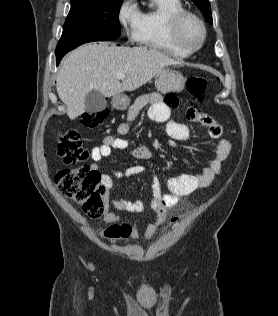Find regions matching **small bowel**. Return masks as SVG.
Masks as SVG:
<instances>
[{"label": "small bowel", "instance_id": "obj_1", "mask_svg": "<svg viewBox=\"0 0 278 316\" xmlns=\"http://www.w3.org/2000/svg\"><path fill=\"white\" fill-rule=\"evenodd\" d=\"M178 105V99L174 95L163 98L158 93H149L140 96L128 110L127 120L118 126L120 135H127L131 129L132 122L139 113L148 107V116L156 122H167L166 130L169 136L176 140L186 141L190 138V129L187 125L170 120L171 110ZM187 118L192 122L199 123L208 129L209 136L216 141L215 155L209 165L205 167L200 175L182 174L168 180L167 194L162 193L161 184L156 177L152 178L150 208L156 216L153 221L147 224L144 230V238L150 239L157 228L167 219L168 208L178 204L180 199L191 193L210 186L215 176L221 171L222 163L228 158L231 145L229 140L222 137L223 128L213 117L206 113L199 112L196 108L187 109ZM129 148V142L121 137L108 135L100 146H94L90 150L92 163L90 168L98 172L99 163L109 157L113 150H125ZM130 154L138 160H149L153 157L152 150L147 146H137L131 149ZM145 172L142 165L128 167L123 173L118 172L119 178H128L141 175ZM101 182L106 188V208L112 205L117 211L140 214L145 210V204L141 200L129 201L123 198H112L110 196L114 189V183L110 174H101ZM103 220L109 224L106 228H98L100 236L113 241L122 242L136 240L140 235V227L137 219L123 218L116 212L106 210Z\"/></svg>", "mask_w": 278, "mask_h": 316}]
</instances>
